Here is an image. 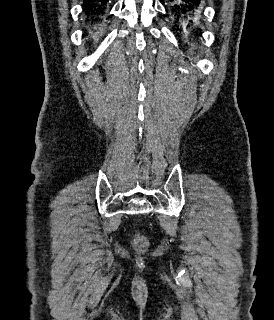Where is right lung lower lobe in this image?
Here are the masks:
<instances>
[{"instance_id": "obj_1", "label": "right lung lower lobe", "mask_w": 274, "mask_h": 320, "mask_svg": "<svg viewBox=\"0 0 274 320\" xmlns=\"http://www.w3.org/2000/svg\"><path fill=\"white\" fill-rule=\"evenodd\" d=\"M108 0H84L83 14L85 21L92 29L98 27V24L102 23L103 17L107 11Z\"/></svg>"}]
</instances>
